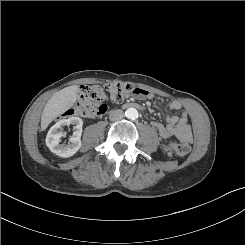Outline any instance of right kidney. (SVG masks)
Wrapping results in <instances>:
<instances>
[{
  "label": "right kidney",
  "instance_id": "right-kidney-1",
  "mask_svg": "<svg viewBox=\"0 0 245 245\" xmlns=\"http://www.w3.org/2000/svg\"><path fill=\"white\" fill-rule=\"evenodd\" d=\"M74 125V132L70 138V142L67 145L60 144L61 137L63 133L61 132L63 126ZM83 121L79 117H70L68 119H63L54 124L47 136L46 145L54 154L62 157L68 158L73 156L81 147V135H82Z\"/></svg>",
  "mask_w": 245,
  "mask_h": 245
}]
</instances>
